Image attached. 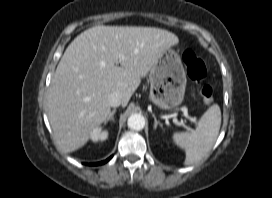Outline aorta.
<instances>
[{
	"mask_svg": "<svg viewBox=\"0 0 272 198\" xmlns=\"http://www.w3.org/2000/svg\"><path fill=\"white\" fill-rule=\"evenodd\" d=\"M127 124L130 129L140 131L145 126V119L141 114H132L128 118Z\"/></svg>",
	"mask_w": 272,
	"mask_h": 198,
	"instance_id": "obj_1",
	"label": "aorta"
}]
</instances>
